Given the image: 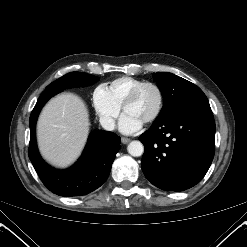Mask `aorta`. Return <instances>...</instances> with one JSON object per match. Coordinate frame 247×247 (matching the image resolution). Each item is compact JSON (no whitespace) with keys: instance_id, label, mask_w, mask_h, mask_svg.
Masks as SVG:
<instances>
[{"instance_id":"obj_1","label":"aorta","mask_w":247,"mask_h":247,"mask_svg":"<svg viewBox=\"0 0 247 247\" xmlns=\"http://www.w3.org/2000/svg\"><path fill=\"white\" fill-rule=\"evenodd\" d=\"M127 150L131 156L139 157L144 152V146L140 141H132L129 143Z\"/></svg>"}]
</instances>
